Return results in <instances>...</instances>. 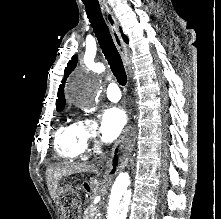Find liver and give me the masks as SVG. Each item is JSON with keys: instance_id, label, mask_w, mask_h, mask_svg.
I'll return each mask as SVG.
<instances>
[{"instance_id": "obj_1", "label": "liver", "mask_w": 221, "mask_h": 219, "mask_svg": "<svg viewBox=\"0 0 221 219\" xmlns=\"http://www.w3.org/2000/svg\"><path fill=\"white\" fill-rule=\"evenodd\" d=\"M93 167L85 163L79 162H64L60 165L52 166L47 169V185L50 196L53 200L57 197L58 182L63 177L70 176L76 173L88 172Z\"/></svg>"}]
</instances>
